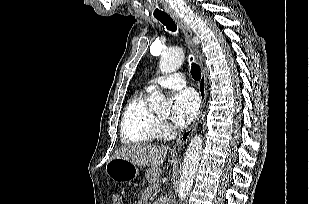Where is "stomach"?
Listing matches in <instances>:
<instances>
[{"mask_svg":"<svg viewBox=\"0 0 309 204\" xmlns=\"http://www.w3.org/2000/svg\"><path fill=\"white\" fill-rule=\"evenodd\" d=\"M106 174L116 182L127 183L138 177V166L130 161L115 158L106 164Z\"/></svg>","mask_w":309,"mask_h":204,"instance_id":"stomach-1","label":"stomach"}]
</instances>
